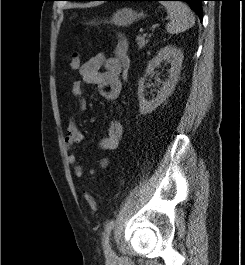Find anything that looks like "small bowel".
I'll return each instance as SVG.
<instances>
[{"label": "small bowel", "instance_id": "small-bowel-1", "mask_svg": "<svg viewBox=\"0 0 245 265\" xmlns=\"http://www.w3.org/2000/svg\"><path fill=\"white\" fill-rule=\"evenodd\" d=\"M104 67V71L101 68ZM96 85L100 94L110 102H117L121 89V68L115 57L107 58L103 53H98L80 68V79L72 84V94L79 99L78 113H82L86 109V100L84 94V85ZM123 135V125L120 120H114L109 124L106 137L100 139L98 146L104 151H115L121 142ZM83 133L80 131L75 117H71L67 126V135L65 142L70 150L68 154V162L74 167V175L82 178L84 170L78 164L77 155L73 150L74 146L82 142ZM108 161L102 160L101 167H105Z\"/></svg>", "mask_w": 245, "mask_h": 265}]
</instances>
